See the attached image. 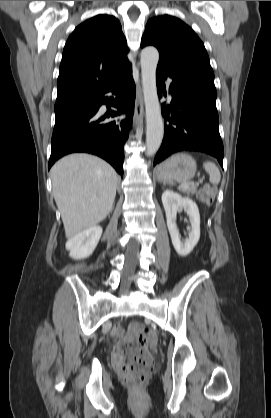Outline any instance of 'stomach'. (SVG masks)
I'll return each mask as SVG.
<instances>
[{
	"instance_id": "1",
	"label": "stomach",
	"mask_w": 271,
	"mask_h": 418,
	"mask_svg": "<svg viewBox=\"0 0 271 418\" xmlns=\"http://www.w3.org/2000/svg\"><path fill=\"white\" fill-rule=\"evenodd\" d=\"M196 161L190 155L178 153L157 167L156 176L160 182H188L196 173Z\"/></svg>"
}]
</instances>
